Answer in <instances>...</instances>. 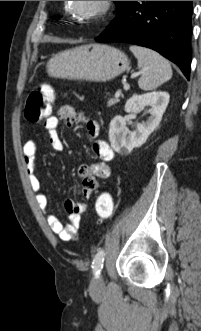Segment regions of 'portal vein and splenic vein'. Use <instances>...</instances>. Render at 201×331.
I'll return each mask as SVG.
<instances>
[{
  "label": "portal vein and splenic vein",
  "mask_w": 201,
  "mask_h": 331,
  "mask_svg": "<svg viewBox=\"0 0 201 331\" xmlns=\"http://www.w3.org/2000/svg\"><path fill=\"white\" fill-rule=\"evenodd\" d=\"M123 84H124V89L125 90H128L130 88V85L127 82H123ZM120 94H121L120 92H117L116 96H120Z\"/></svg>",
  "instance_id": "portal-vein-and-splenic-vein-1"
}]
</instances>
